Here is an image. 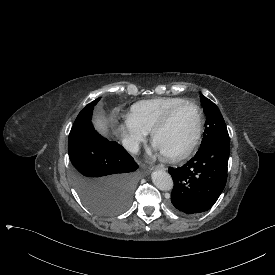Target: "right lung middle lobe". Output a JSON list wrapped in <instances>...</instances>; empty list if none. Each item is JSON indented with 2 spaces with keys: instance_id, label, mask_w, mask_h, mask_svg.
<instances>
[{
  "instance_id": "right-lung-middle-lobe-1",
  "label": "right lung middle lobe",
  "mask_w": 275,
  "mask_h": 275,
  "mask_svg": "<svg viewBox=\"0 0 275 275\" xmlns=\"http://www.w3.org/2000/svg\"><path fill=\"white\" fill-rule=\"evenodd\" d=\"M99 100L82 109L70 131L71 178L91 211L114 216L130 205L142 171L121 145L107 140L94 129L91 118Z\"/></svg>"
}]
</instances>
